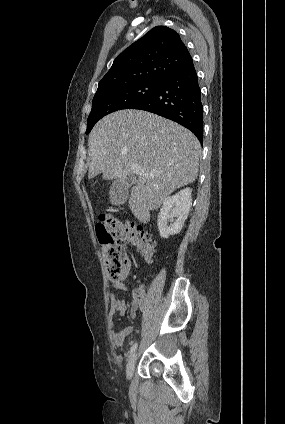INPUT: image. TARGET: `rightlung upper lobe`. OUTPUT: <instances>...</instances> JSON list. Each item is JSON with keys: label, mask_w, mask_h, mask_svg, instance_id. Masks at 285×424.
Listing matches in <instances>:
<instances>
[{"label": "right lung upper lobe", "mask_w": 285, "mask_h": 424, "mask_svg": "<svg viewBox=\"0 0 285 424\" xmlns=\"http://www.w3.org/2000/svg\"><path fill=\"white\" fill-rule=\"evenodd\" d=\"M192 62L179 34L166 26H156L114 60L97 91L139 81L164 82Z\"/></svg>", "instance_id": "cb5924a9"}]
</instances>
